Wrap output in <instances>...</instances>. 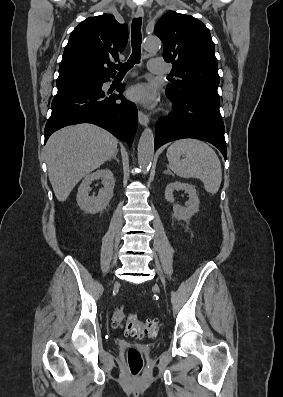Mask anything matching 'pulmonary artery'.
Returning <instances> with one entry per match:
<instances>
[{"instance_id": "obj_1", "label": "pulmonary artery", "mask_w": 283, "mask_h": 397, "mask_svg": "<svg viewBox=\"0 0 283 397\" xmlns=\"http://www.w3.org/2000/svg\"><path fill=\"white\" fill-rule=\"evenodd\" d=\"M148 69L155 74H164L167 71L165 65L159 59H151L148 63Z\"/></svg>"}]
</instances>
